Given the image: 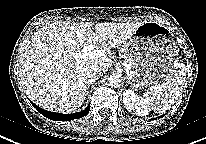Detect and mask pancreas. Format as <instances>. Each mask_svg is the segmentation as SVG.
Listing matches in <instances>:
<instances>
[{
	"label": "pancreas",
	"instance_id": "obj_1",
	"mask_svg": "<svg viewBox=\"0 0 206 144\" xmlns=\"http://www.w3.org/2000/svg\"><path fill=\"white\" fill-rule=\"evenodd\" d=\"M123 53V56L125 58V61L127 64L130 65V72L133 75V77L135 76V72L133 70V66H132V59L130 58V56L126 53L125 49H121L120 50Z\"/></svg>",
	"mask_w": 206,
	"mask_h": 144
}]
</instances>
